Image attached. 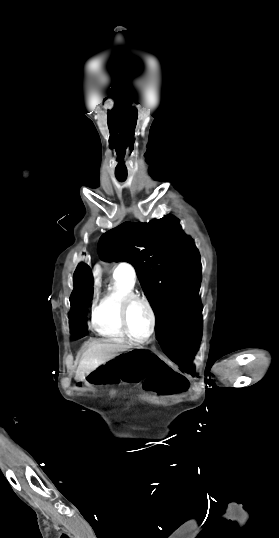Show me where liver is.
Segmentation results:
<instances>
[{
	"label": "liver",
	"mask_w": 279,
	"mask_h": 538,
	"mask_svg": "<svg viewBox=\"0 0 279 538\" xmlns=\"http://www.w3.org/2000/svg\"><path fill=\"white\" fill-rule=\"evenodd\" d=\"M129 346H124L120 342H111V340H100L92 344L82 356V360L76 370V380H84L86 374L96 370L98 366L112 360L117 356V352H125Z\"/></svg>",
	"instance_id": "6515ba94"
}]
</instances>
